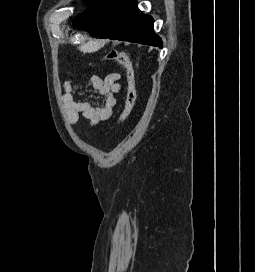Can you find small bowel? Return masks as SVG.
Returning <instances> with one entry per match:
<instances>
[{
    "instance_id": "1",
    "label": "small bowel",
    "mask_w": 255,
    "mask_h": 272,
    "mask_svg": "<svg viewBox=\"0 0 255 272\" xmlns=\"http://www.w3.org/2000/svg\"><path fill=\"white\" fill-rule=\"evenodd\" d=\"M119 81L118 73H110L105 78L97 75L89 77L92 91L100 97V102L97 104L78 101L76 94L80 95L83 92L78 90L75 94L73 82L67 81L63 87L62 104L69 123L76 124L80 116L87 119L91 126L107 120L117 103V93L120 90Z\"/></svg>"
}]
</instances>
